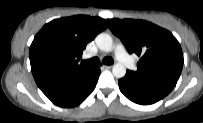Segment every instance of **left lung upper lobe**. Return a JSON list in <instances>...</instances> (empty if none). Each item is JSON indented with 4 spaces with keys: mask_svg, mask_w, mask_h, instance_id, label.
Listing matches in <instances>:
<instances>
[{
    "mask_svg": "<svg viewBox=\"0 0 203 123\" xmlns=\"http://www.w3.org/2000/svg\"><path fill=\"white\" fill-rule=\"evenodd\" d=\"M107 22L128 52L140 56L138 69L130 72L176 85L183 68V53L172 33L144 20L108 19Z\"/></svg>",
    "mask_w": 203,
    "mask_h": 123,
    "instance_id": "left-lung-upper-lobe-1",
    "label": "left lung upper lobe"
}]
</instances>
